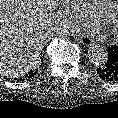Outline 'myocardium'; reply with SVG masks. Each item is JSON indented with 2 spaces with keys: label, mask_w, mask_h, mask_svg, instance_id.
Returning <instances> with one entry per match:
<instances>
[{
  "label": "myocardium",
  "mask_w": 118,
  "mask_h": 118,
  "mask_svg": "<svg viewBox=\"0 0 118 118\" xmlns=\"http://www.w3.org/2000/svg\"><path fill=\"white\" fill-rule=\"evenodd\" d=\"M111 28L114 35L118 37V1L112 4ZM101 22H96V25Z\"/></svg>",
  "instance_id": "f54148a6"
}]
</instances>
